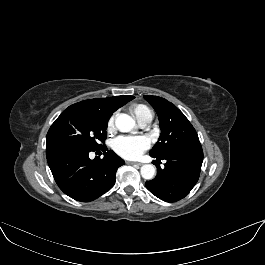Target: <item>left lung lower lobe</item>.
<instances>
[{"mask_svg":"<svg viewBox=\"0 0 265 265\" xmlns=\"http://www.w3.org/2000/svg\"><path fill=\"white\" fill-rule=\"evenodd\" d=\"M150 156L158 164L163 159L166 163L164 169L155 163L157 176L145 183L147 189L166 202H176L188 195L199 179L203 162L201 144L175 149L164 156Z\"/></svg>","mask_w":265,"mask_h":265,"instance_id":"1","label":"left lung lower lobe"}]
</instances>
